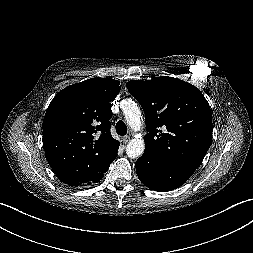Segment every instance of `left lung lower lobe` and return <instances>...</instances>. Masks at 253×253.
<instances>
[{
    "instance_id": "1",
    "label": "left lung lower lobe",
    "mask_w": 253,
    "mask_h": 253,
    "mask_svg": "<svg viewBox=\"0 0 253 253\" xmlns=\"http://www.w3.org/2000/svg\"><path fill=\"white\" fill-rule=\"evenodd\" d=\"M139 180L148 188L159 191H171L184 184L197 169L192 165L166 166L157 162L150 154L144 152L136 161Z\"/></svg>"
}]
</instances>
